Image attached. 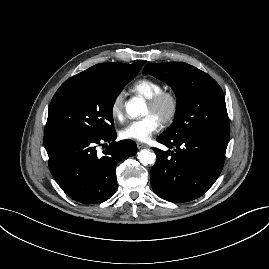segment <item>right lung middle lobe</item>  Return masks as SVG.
I'll list each match as a JSON object with an SVG mask.
<instances>
[{
    "label": "right lung middle lobe",
    "instance_id": "dd1d6c3e",
    "mask_svg": "<svg viewBox=\"0 0 269 269\" xmlns=\"http://www.w3.org/2000/svg\"><path fill=\"white\" fill-rule=\"evenodd\" d=\"M136 75L77 74L69 78L52 98L45 134L69 131L101 137L114 132V102Z\"/></svg>",
    "mask_w": 269,
    "mask_h": 269
}]
</instances>
